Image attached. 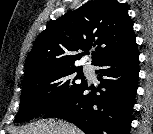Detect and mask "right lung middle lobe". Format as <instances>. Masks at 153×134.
<instances>
[{"mask_svg":"<svg viewBox=\"0 0 153 134\" xmlns=\"http://www.w3.org/2000/svg\"><path fill=\"white\" fill-rule=\"evenodd\" d=\"M87 84L81 66L55 68L23 79L16 122L45 114L69 100Z\"/></svg>","mask_w":153,"mask_h":134,"instance_id":"dd1d6c3e","label":"right lung middle lobe"}]
</instances>
